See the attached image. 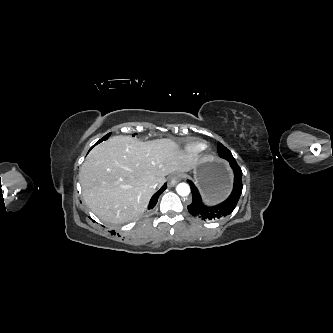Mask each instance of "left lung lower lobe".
<instances>
[{"mask_svg":"<svg viewBox=\"0 0 333 333\" xmlns=\"http://www.w3.org/2000/svg\"><path fill=\"white\" fill-rule=\"evenodd\" d=\"M231 168L234 171V186L230 196L222 203L215 206H207L202 202L196 186L188 180L191 186L192 203L188 205V211L191 215L205 221H217L231 214L235 209L240 195L242 193V171L235 160H229Z\"/></svg>","mask_w":333,"mask_h":333,"instance_id":"1","label":"left lung lower lobe"}]
</instances>
